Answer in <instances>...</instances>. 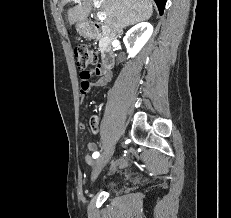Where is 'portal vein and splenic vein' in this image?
Listing matches in <instances>:
<instances>
[{
    "mask_svg": "<svg viewBox=\"0 0 231 218\" xmlns=\"http://www.w3.org/2000/svg\"><path fill=\"white\" fill-rule=\"evenodd\" d=\"M76 1L79 2L80 0H76ZM93 2H94V6L96 8H99L101 6V2L99 0H94ZM97 17L99 20H102V21H104L106 19V15L104 13H101V12L97 13Z\"/></svg>",
    "mask_w": 231,
    "mask_h": 218,
    "instance_id": "1",
    "label": "portal vein and splenic vein"
}]
</instances>
